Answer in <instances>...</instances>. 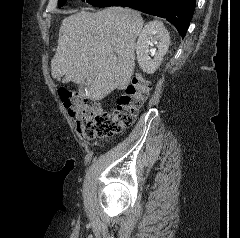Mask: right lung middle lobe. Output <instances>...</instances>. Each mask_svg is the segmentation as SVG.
<instances>
[{"label":"right lung middle lobe","mask_w":240,"mask_h":238,"mask_svg":"<svg viewBox=\"0 0 240 238\" xmlns=\"http://www.w3.org/2000/svg\"><path fill=\"white\" fill-rule=\"evenodd\" d=\"M98 0H89L88 1V3H90V4H94V3H96ZM65 2H66V0H58V6L59 7H62L64 4H65Z\"/></svg>","instance_id":"dd1d6c3e"}]
</instances>
